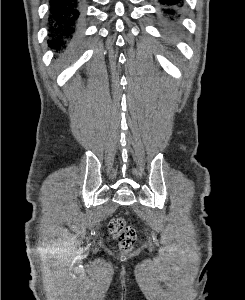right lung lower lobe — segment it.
Here are the masks:
<instances>
[{
  "instance_id": "right-lung-lower-lobe-1",
  "label": "right lung lower lobe",
  "mask_w": 245,
  "mask_h": 300,
  "mask_svg": "<svg viewBox=\"0 0 245 300\" xmlns=\"http://www.w3.org/2000/svg\"><path fill=\"white\" fill-rule=\"evenodd\" d=\"M84 0H51L50 26L52 38L48 44L57 51L73 48L78 40L83 20Z\"/></svg>"
}]
</instances>
